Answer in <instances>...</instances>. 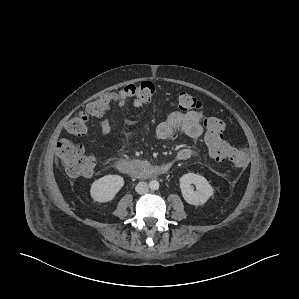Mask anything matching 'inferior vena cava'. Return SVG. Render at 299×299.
I'll list each match as a JSON object with an SVG mask.
<instances>
[{"label":"inferior vena cava","instance_id":"602c4592","mask_svg":"<svg viewBox=\"0 0 299 299\" xmlns=\"http://www.w3.org/2000/svg\"><path fill=\"white\" fill-rule=\"evenodd\" d=\"M135 190L138 194H145L149 191V186L146 182H139L136 185Z\"/></svg>","mask_w":299,"mask_h":299}]
</instances>
